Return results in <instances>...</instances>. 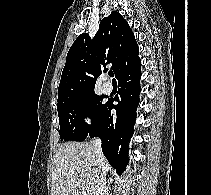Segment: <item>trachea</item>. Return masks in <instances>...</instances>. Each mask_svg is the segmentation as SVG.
Instances as JSON below:
<instances>
[{"instance_id": "trachea-1", "label": "trachea", "mask_w": 211, "mask_h": 195, "mask_svg": "<svg viewBox=\"0 0 211 195\" xmlns=\"http://www.w3.org/2000/svg\"><path fill=\"white\" fill-rule=\"evenodd\" d=\"M108 75H109L110 77H113V76H114L113 71H109V72H108ZM113 80H114V79H113Z\"/></svg>"}]
</instances>
